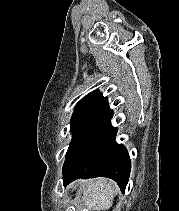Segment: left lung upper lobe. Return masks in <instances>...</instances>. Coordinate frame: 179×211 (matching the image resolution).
Segmentation results:
<instances>
[{
  "mask_svg": "<svg viewBox=\"0 0 179 211\" xmlns=\"http://www.w3.org/2000/svg\"><path fill=\"white\" fill-rule=\"evenodd\" d=\"M107 108L108 100L99 91L87 94L77 103L70 124L73 137L66 153L63 168L70 162L89 129Z\"/></svg>",
  "mask_w": 179,
  "mask_h": 211,
  "instance_id": "1",
  "label": "left lung upper lobe"
}]
</instances>
